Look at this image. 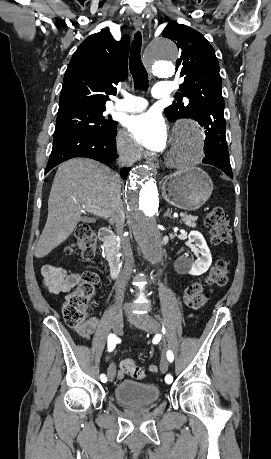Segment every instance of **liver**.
I'll use <instances>...</instances> for the list:
<instances>
[{
  "label": "liver",
  "instance_id": "1",
  "mask_svg": "<svg viewBox=\"0 0 271 459\" xmlns=\"http://www.w3.org/2000/svg\"><path fill=\"white\" fill-rule=\"evenodd\" d=\"M116 174L100 162L73 158L60 164L48 198V218L35 247L36 257L48 255L80 222V210H109ZM96 216V214H95Z\"/></svg>",
  "mask_w": 271,
  "mask_h": 459
}]
</instances>
